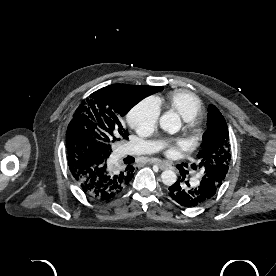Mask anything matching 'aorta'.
Returning a JSON list of instances; mask_svg holds the SVG:
<instances>
[{"label":"aorta","instance_id":"762f6f07","mask_svg":"<svg viewBox=\"0 0 276 276\" xmlns=\"http://www.w3.org/2000/svg\"><path fill=\"white\" fill-rule=\"evenodd\" d=\"M159 125L164 131L175 134L180 130L182 123L176 112L168 111L160 117ZM161 180L163 184L171 186L177 181V175L174 171L167 169L161 173Z\"/></svg>","mask_w":276,"mask_h":276}]
</instances>
